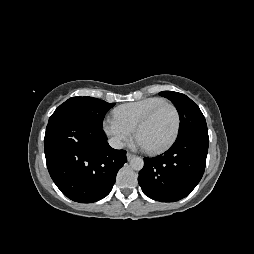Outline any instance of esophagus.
<instances>
[{"instance_id":"34e87169","label":"esophagus","mask_w":254,"mask_h":254,"mask_svg":"<svg viewBox=\"0 0 254 254\" xmlns=\"http://www.w3.org/2000/svg\"><path fill=\"white\" fill-rule=\"evenodd\" d=\"M126 156H127V160L129 161V160H131L135 155L132 154V153H130V152H127Z\"/></svg>"}]
</instances>
